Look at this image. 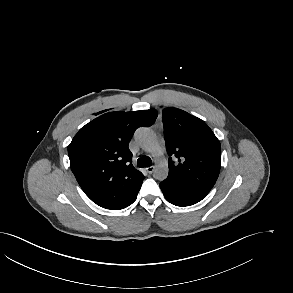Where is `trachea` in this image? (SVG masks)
I'll return each instance as SVG.
<instances>
[{"instance_id":"trachea-1","label":"trachea","mask_w":293,"mask_h":293,"mask_svg":"<svg viewBox=\"0 0 293 293\" xmlns=\"http://www.w3.org/2000/svg\"><path fill=\"white\" fill-rule=\"evenodd\" d=\"M137 164L139 167H150L152 165V161L149 157H140L137 160Z\"/></svg>"}]
</instances>
